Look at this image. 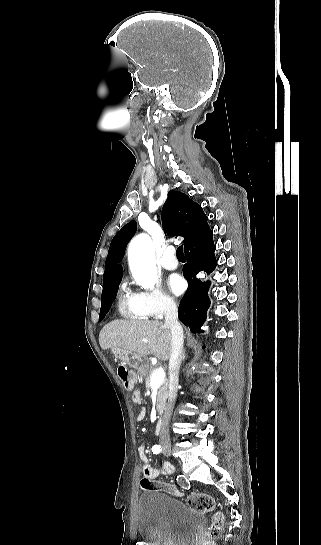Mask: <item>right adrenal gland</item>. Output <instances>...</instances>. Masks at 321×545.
Segmentation results:
<instances>
[{
    "label": "right adrenal gland",
    "instance_id": "right-adrenal-gland-1",
    "mask_svg": "<svg viewBox=\"0 0 321 545\" xmlns=\"http://www.w3.org/2000/svg\"><path fill=\"white\" fill-rule=\"evenodd\" d=\"M182 359H183V361H184V359H185V353H183V357H182Z\"/></svg>",
    "mask_w": 321,
    "mask_h": 545
}]
</instances>
